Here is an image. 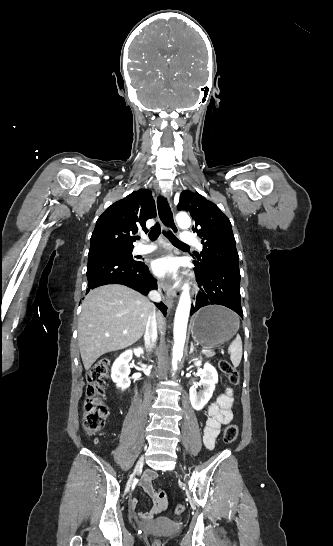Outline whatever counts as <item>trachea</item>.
<instances>
[{"label": "trachea", "instance_id": "1", "mask_svg": "<svg viewBox=\"0 0 333 546\" xmlns=\"http://www.w3.org/2000/svg\"><path fill=\"white\" fill-rule=\"evenodd\" d=\"M160 233H161L160 224L156 223L154 225V227L151 229V231L149 232L150 240H152V241L156 240L158 238V236L160 235ZM164 234L168 237V239L172 242V244L174 246H177V247H187L188 246V245L182 243L180 240H178L171 231H167V232L164 231ZM138 239H139V237H138Z\"/></svg>", "mask_w": 333, "mask_h": 546}]
</instances>
